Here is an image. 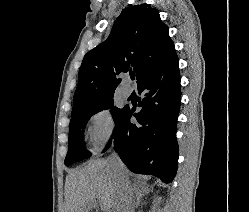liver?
Masks as SVG:
<instances>
[{
  "mask_svg": "<svg viewBox=\"0 0 249 212\" xmlns=\"http://www.w3.org/2000/svg\"><path fill=\"white\" fill-rule=\"evenodd\" d=\"M116 170L109 160H93L80 170H71L65 182L67 212H89L98 202L104 212H120L116 188ZM128 176H133L125 168ZM139 184V182H136ZM138 188H142L141 184ZM142 192H149L142 188Z\"/></svg>",
  "mask_w": 249,
  "mask_h": 212,
  "instance_id": "6515ba94",
  "label": "liver"
}]
</instances>
